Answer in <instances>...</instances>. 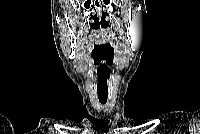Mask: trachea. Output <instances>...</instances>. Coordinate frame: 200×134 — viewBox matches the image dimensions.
Wrapping results in <instances>:
<instances>
[{
	"mask_svg": "<svg viewBox=\"0 0 200 134\" xmlns=\"http://www.w3.org/2000/svg\"><path fill=\"white\" fill-rule=\"evenodd\" d=\"M102 104H105L106 103V101H100Z\"/></svg>",
	"mask_w": 200,
	"mask_h": 134,
	"instance_id": "trachea-1",
	"label": "trachea"
}]
</instances>
